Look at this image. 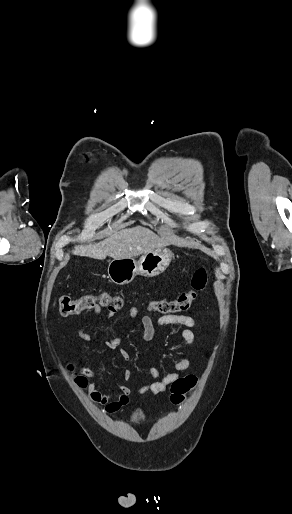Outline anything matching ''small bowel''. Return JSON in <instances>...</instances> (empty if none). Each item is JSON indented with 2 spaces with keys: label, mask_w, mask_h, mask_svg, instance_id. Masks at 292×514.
<instances>
[{
  "label": "small bowel",
  "mask_w": 292,
  "mask_h": 514,
  "mask_svg": "<svg viewBox=\"0 0 292 514\" xmlns=\"http://www.w3.org/2000/svg\"><path fill=\"white\" fill-rule=\"evenodd\" d=\"M94 313L97 316H103V309L99 303H95L93 306ZM115 313L114 309H110L108 313L104 316L106 318H111ZM138 310L136 307H131L130 309V317H136ZM141 325L143 328V338L146 341L153 340L155 336L156 327H166V326H183L184 329L181 330L180 336L185 344L189 347L193 346L195 342V334L192 331V328L195 326V320L192 316L188 314H172V315H161L156 318L151 317L150 315H144L141 318ZM78 336L83 341H90L92 339V335L89 332L83 331L81 329L78 330ZM121 337L117 336L111 338L106 341V346L110 350H115L119 347L121 343ZM119 355L122 360L128 361L130 359V355L127 350L120 349ZM190 366V358L189 356H185L184 358L178 360L174 364V372L168 373L162 377H159V372L156 368L152 367L148 369L147 375L148 380L145 384H143L138 390L137 394H143L147 391H151L155 394L163 393L166 391L167 385H172L176 380L181 377V372L187 370ZM80 374L88 379H94L97 374L94 370L87 367L84 364H80L79 366ZM124 379L128 380L130 377V371L125 370L123 372ZM90 396L102 403L105 404V411L109 413L121 412L124 405L127 404L128 398L131 395V389L126 385H121L119 387V393L116 396H112L110 394H103L96 389V384L91 382L87 386Z\"/></svg>",
  "instance_id": "1"
}]
</instances>
